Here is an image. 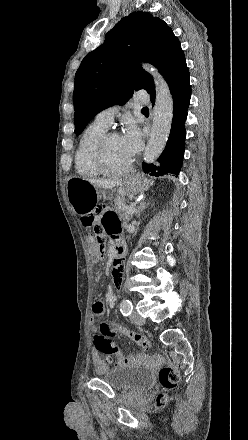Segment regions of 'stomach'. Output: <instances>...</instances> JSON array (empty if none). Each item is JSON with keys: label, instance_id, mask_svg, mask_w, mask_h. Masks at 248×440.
Wrapping results in <instances>:
<instances>
[{"label": "stomach", "instance_id": "obj_1", "mask_svg": "<svg viewBox=\"0 0 248 440\" xmlns=\"http://www.w3.org/2000/svg\"><path fill=\"white\" fill-rule=\"evenodd\" d=\"M150 187V182L141 176L131 175L125 178L118 187L121 197L133 198L143 193ZM68 200L77 213H83L94 206L96 200L101 198L111 200L113 192L102 191L89 181L79 178H69L66 184Z\"/></svg>", "mask_w": 248, "mask_h": 440}]
</instances>
